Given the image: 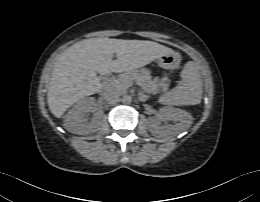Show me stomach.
<instances>
[{"mask_svg": "<svg viewBox=\"0 0 260 202\" xmlns=\"http://www.w3.org/2000/svg\"><path fill=\"white\" fill-rule=\"evenodd\" d=\"M160 67H162L165 70H173L178 67L180 63V57L172 52L168 54H164L160 56L157 60Z\"/></svg>", "mask_w": 260, "mask_h": 202, "instance_id": "stomach-1", "label": "stomach"}]
</instances>
